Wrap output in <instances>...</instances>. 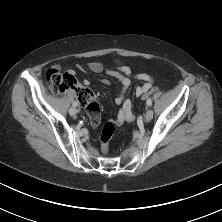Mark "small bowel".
I'll use <instances>...</instances> for the list:
<instances>
[{"mask_svg": "<svg viewBox=\"0 0 222 222\" xmlns=\"http://www.w3.org/2000/svg\"><path fill=\"white\" fill-rule=\"evenodd\" d=\"M80 68V66H79ZM87 68L90 72L99 74L104 71V66L101 62L93 61L88 63ZM106 74L110 77L117 79L121 84L120 93L118 96L115 97L114 102L117 105H120V109L112 121L113 124L117 126H121L124 123L132 122L134 120V114L132 112V103L131 101L126 98L127 92L131 86V70L127 66H122L118 69H108L105 71ZM135 79L143 82L142 85L137 86L135 89V95L137 97L143 96L147 90L151 89L153 83V77L147 73H138L135 76ZM101 82L103 84L108 85L110 83L107 79H102ZM83 85L88 86L89 80L84 78L82 80ZM100 115L98 113L90 114V121L93 127H96L100 123Z\"/></svg>", "mask_w": 222, "mask_h": 222, "instance_id": "small-bowel-1", "label": "small bowel"}]
</instances>
